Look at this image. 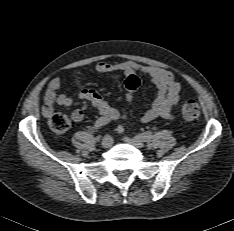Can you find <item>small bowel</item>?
<instances>
[{
	"instance_id": "small-bowel-1",
	"label": "small bowel",
	"mask_w": 234,
	"mask_h": 231,
	"mask_svg": "<svg viewBox=\"0 0 234 231\" xmlns=\"http://www.w3.org/2000/svg\"><path fill=\"white\" fill-rule=\"evenodd\" d=\"M95 72L97 74L122 72L126 76L134 72H140L149 76L157 91L152 105L141 118L142 122H150L156 118L168 120L174 118L173 109L179 104L182 86L170 71L126 60L117 63L99 62L95 66ZM61 85L62 81L59 77H54L49 82L44 94L43 113L45 115H50L56 104L64 107L72 105L73 99L60 92ZM78 97L90 102L98 110L101 117L108 122L116 121L120 116L119 111L110 105L95 89L82 88L78 92ZM82 119V110H76L72 113V120L75 123L81 122Z\"/></svg>"
}]
</instances>
